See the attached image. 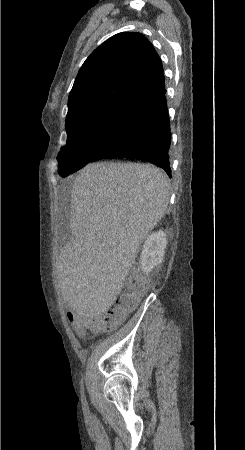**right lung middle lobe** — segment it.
<instances>
[{"label": "right lung middle lobe", "mask_w": 245, "mask_h": 450, "mask_svg": "<svg viewBox=\"0 0 245 450\" xmlns=\"http://www.w3.org/2000/svg\"><path fill=\"white\" fill-rule=\"evenodd\" d=\"M138 111L118 104H96L66 118L67 143L58 155V173L65 177L110 150L126 136Z\"/></svg>", "instance_id": "obj_1"}]
</instances>
